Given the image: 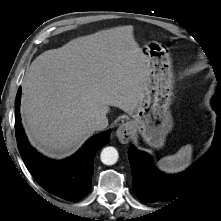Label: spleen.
<instances>
[{
  "label": "spleen",
  "mask_w": 221,
  "mask_h": 221,
  "mask_svg": "<svg viewBox=\"0 0 221 221\" xmlns=\"http://www.w3.org/2000/svg\"><path fill=\"white\" fill-rule=\"evenodd\" d=\"M193 147L187 144L170 156L163 157L158 162V167L167 173H177L185 170L191 163Z\"/></svg>",
  "instance_id": "3e777b00"
}]
</instances>
